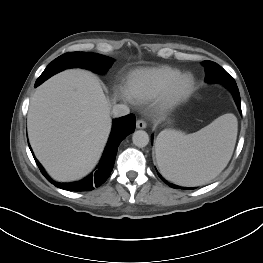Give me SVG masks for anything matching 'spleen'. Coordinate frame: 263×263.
<instances>
[{"mask_svg":"<svg viewBox=\"0 0 263 263\" xmlns=\"http://www.w3.org/2000/svg\"><path fill=\"white\" fill-rule=\"evenodd\" d=\"M237 126L236 117L229 113L192 134L170 129L161 131L155 144L161 173L182 186L210 182L231 159Z\"/></svg>","mask_w":263,"mask_h":263,"instance_id":"spleen-1","label":"spleen"}]
</instances>
